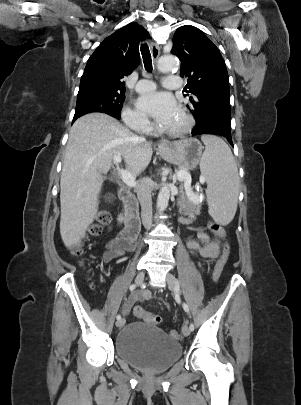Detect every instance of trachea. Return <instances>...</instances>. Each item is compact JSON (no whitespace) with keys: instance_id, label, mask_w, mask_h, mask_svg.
Listing matches in <instances>:
<instances>
[{"instance_id":"trachea-1","label":"trachea","mask_w":301,"mask_h":405,"mask_svg":"<svg viewBox=\"0 0 301 405\" xmlns=\"http://www.w3.org/2000/svg\"><path fill=\"white\" fill-rule=\"evenodd\" d=\"M141 54H142L145 69L148 72H151L152 71V59H151L150 50H149V47L147 44H141Z\"/></svg>"}]
</instances>
